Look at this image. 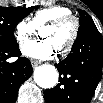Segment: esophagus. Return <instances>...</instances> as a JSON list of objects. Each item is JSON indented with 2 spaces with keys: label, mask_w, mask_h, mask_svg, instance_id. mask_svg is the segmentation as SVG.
Returning <instances> with one entry per match:
<instances>
[{
  "label": "esophagus",
  "mask_w": 103,
  "mask_h": 103,
  "mask_svg": "<svg viewBox=\"0 0 103 103\" xmlns=\"http://www.w3.org/2000/svg\"><path fill=\"white\" fill-rule=\"evenodd\" d=\"M40 63L41 62L39 60H33V59L31 60V64H32L33 67L38 66Z\"/></svg>",
  "instance_id": "obj_1"
}]
</instances>
